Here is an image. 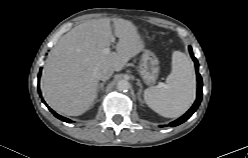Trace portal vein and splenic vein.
<instances>
[{
  "label": "portal vein and splenic vein",
  "instance_id": "obj_1",
  "mask_svg": "<svg viewBox=\"0 0 248 158\" xmlns=\"http://www.w3.org/2000/svg\"><path fill=\"white\" fill-rule=\"evenodd\" d=\"M103 53H104V54H109V53H110V48H109V47L104 48V49H103ZM159 86L161 87V86H162V83H160Z\"/></svg>",
  "mask_w": 248,
  "mask_h": 158
}]
</instances>
